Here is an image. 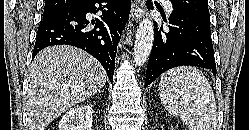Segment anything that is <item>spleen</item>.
<instances>
[{
  "label": "spleen",
  "mask_w": 249,
  "mask_h": 130,
  "mask_svg": "<svg viewBox=\"0 0 249 130\" xmlns=\"http://www.w3.org/2000/svg\"><path fill=\"white\" fill-rule=\"evenodd\" d=\"M159 93L165 109L173 116H180L189 130L216 129L214 92L196 67H177L162 74Z\"/></svg>",
  "instance_id": "spleen-1"
}]
</instances>
